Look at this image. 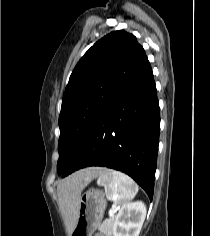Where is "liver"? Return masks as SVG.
<instances>
[{
	"label": "liver",
	"instance_id": "6515ba94",
	"mask_svg": "<svg viewBox=\"0 0 210 236\" xmlns=\"http://www.w3.org/2000/svg\"><path fill=\"white\" fill-rule=\"evenodd\" d=\"M105 171L100 167L82 169L60 181L57 186L59 206L62 210L68 233L71 234L78 218L79 204L83 189Z\"/></svg>",
	"mask_w": 210,
	"mask_h": 236
}]
</instances>
